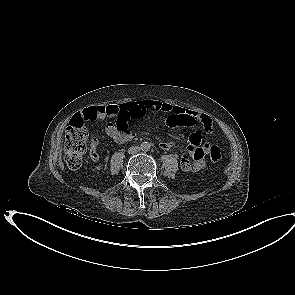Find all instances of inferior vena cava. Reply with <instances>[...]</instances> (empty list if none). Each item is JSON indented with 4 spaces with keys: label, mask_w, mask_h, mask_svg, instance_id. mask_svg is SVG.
<instances>
[{
    "label": "inferior vena cava",
    "mask_w": 295,
    "mask_h": 295,
    "mask_svg": "<svg viewBox=\"0 0 295 295\" xmlns=\"http://www.w3.org/2000/svg\"><path fill=\"white\" fill-rule=\"evenodd\" d=\"M140 151V147L138 146H132L128 149L129 154H136Z\"/></svg>",
    "instance_id": "602c4592"
}]
</instances>
